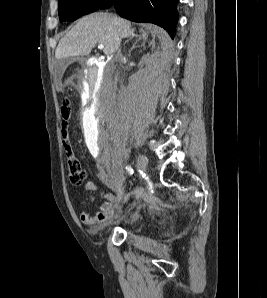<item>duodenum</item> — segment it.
<instances>
[{
    "label": "duodenum",
    "mask_w": 267,
    "mask_h": 298,
    "mask_svg": "<svg viewBox=\"0 0 267 298\" xmlns=\"http://www.w3.org/2000/svg\"><path fill=\"white\" fill-rule=\"evenodd\" d=\"M85 84L83 89H94V87H101V82L95 80V75H84Z\"/></svg>",
    "instance_id": "obj_1"
}]
</instances>
